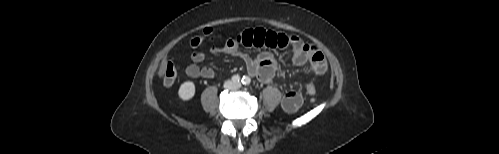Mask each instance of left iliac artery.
<instances>
[{"instance_id":"44dca946","label":"left iliac artery","mask_w":499,"mask_h":154,"mask_svg":"<svg viewBox=\"0 0 499 154\" xmlns=\"http://www.w3.org/2000/svg\"><path fill=\"white\" fill-rule=\"evenodd\" d=\"M241 82L243 85H250L251 79L248 76H243Z\"/></svg>"}]
</instances>
